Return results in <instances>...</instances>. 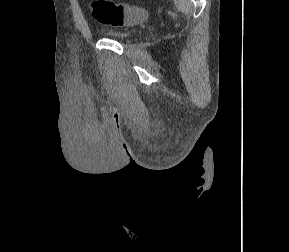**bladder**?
Masks as SVG:
<instances>
[{
	"label": "bladder",
	"mask_w": 289,
	"mask_h": 252,
	"mask_svg": "<svg viewBox=\"0 0 289 252\" xmlns=\"http://www.w3.org/2000/svg\"><path fill=\"white\" fill-rule=\"evenodd\" d=\"M104 36L121 41L126 42L133 38L134 32L125 31V32H115V31H106L103 33Z\"/></svg>",
	"instance_id": "bladder-1"
}]
</instances>
